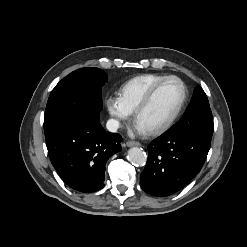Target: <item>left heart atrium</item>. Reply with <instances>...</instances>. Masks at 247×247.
I'll use <instances>...</instances> for the list:
<instances>
[{
    "label": "left heart atrium",
    "instance_id": "39dd6f15",
    "mask_svg": "<svg viewBox=\"0 0 247 247\" xmlns=\"http://www.w3.org/2000/svg\"><path fill=\"white\" fill-rule=\"evenodd\" d=\"M135 132L138 133V134L143 135V134L147 133V130H145L140 124L136 123Z\"/></svg>",
    "mask_w": 247,
    "mask_h": 247
}]
</instances>
